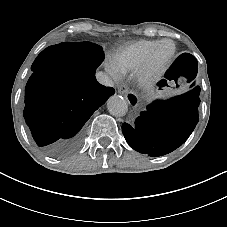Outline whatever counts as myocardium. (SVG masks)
I'll return each mask as SVG.
<instances>
[{
	"label": "myocardium",
	"mask_w": 227,
	"mask_h": 227,
	"mask_svg": "<svg viewBox=\"0 0 227 227\" xmlns=\"http://www.w3.org/2000/svg\"><path fill=\"white\" fill-rule=\"evenodd\" d=\"M166 44L172 46V51L162 54V49ZM177 53L176 45L171 40L162 41L153 51L149 59L137 70V80L144 88L157 85L170 69Z\"/></svg>",
	"instance_id": "f54148a6"
}]
</instances>
